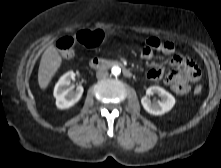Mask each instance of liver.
<instances>
[{
    "label": "liver",
    "mask_w": 221,
    "mask_h": 168,
    "mask_svg": "<svg viewBox=\"0 0 221 168\" xmlns=\"http://www.w3.org/2000/svg\"><path fill=\"white\" fill-rule=\"evenodd\" d=\"M62 64V58L57 49L50 45L43 53L38 70V84L45 90L53 76Z\"/></svg>",
    "instance_id": "obj_1"
}]
</instances>
